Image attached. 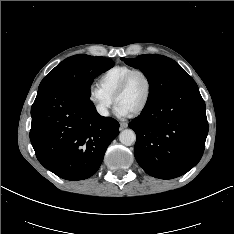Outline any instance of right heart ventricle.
<instances>
[{
  "mask_svg": "<svg viewBox=\"0 0 234 234\" xmlns=\"http://www.w3.org/2000/svg\"><path fill=\"white\" fill-rule=\"evenodd\" d=\"M134 70L126 65H116L105 70L99 77L100 88L111 98L125 76Z\"/></svg>",
  "mask_w": 234,
  "mask_h": 234,
  "instance_id": "1",
  "label": "right heart ventricle"
}]
</instances>
